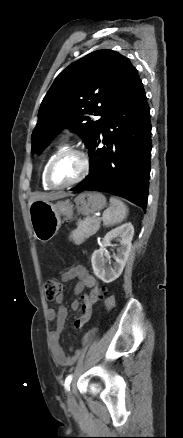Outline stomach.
<instances>
[{"label":"stomach","mask_w":183,"mask_h":438,"mask_svg":"<svg viewBox=\"0 0 183 438\" xmlns=\"http://www.w3.org/2000/svg\"><path fill=\"white\" fill-rule=\"evenodd\" d=\"M76 208L83 215H90L106 206V198L97 192H84L75 198ZM73 208L69 200L52 203L36 200L29 206V218L34 237L42 243L50 241L61 227V216L71 218Z\"/></svg>","instance_id":"1"}]
</instances>
